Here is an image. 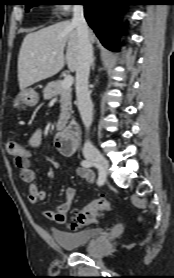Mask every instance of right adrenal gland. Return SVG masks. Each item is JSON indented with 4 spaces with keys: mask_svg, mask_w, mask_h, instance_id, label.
<instances>
[{
    "mask_svg": "<svg viewBox=\"0 0 174 278\" xmlns=\"http://www.w3.org/2000/svg\"><path fill=\"white\" fill-rule=\"evenodd\" d=\"M95 57H93V62H92V69L94 70L95 68V63H94Z\"/></svg>",
    "mask_w": 174,
    "mask_h": 278,
    "instance_id": "obj_1",
    "label": "right adrenal gland"
}]
</instances>
